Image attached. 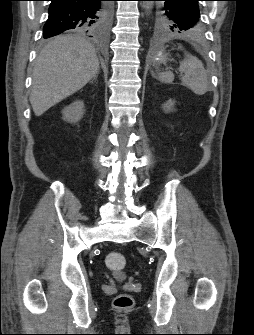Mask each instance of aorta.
I'll use <instances>...</instances> for the list:
<instances>
[{"mask_svg":"<svg viewBox=\"0 0 254 335\" xmlns=\"http://www.w3.org/2000/svg\"><path fill=\"white\" fill-rule=\"evenodd\" d=\"M143 8L145 9V13L149 15L151 13V10L153 8V4L151 2H145L143 4Z\"/></svg>","mask_w":254,"mask_h":335,"instance_id":"aorta-1","label":"aorta"}]
</instances>
